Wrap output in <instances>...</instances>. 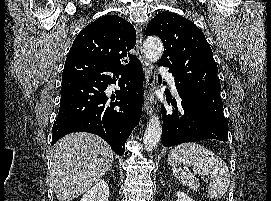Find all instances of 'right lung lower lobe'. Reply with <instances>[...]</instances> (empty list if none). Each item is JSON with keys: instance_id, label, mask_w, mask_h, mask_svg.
I'll use <instances>...</instances> for the list:
<instances>
[{"instance_id": "1", "label": "right lung lower lobe", "mask_w": 271, "mask_h": 201, "mask_svg": "<svg viewBox=\"0 0 271 201\" xmlns=\"http://www.w3.org/2000/svg\"><path fill=\"white\" fill-rule=\"evenodd\" d=\"M109 84L121 90L108 96ZM143 69L132 64H109L85 56L67 57L62 76L61 102L53 125L52 145L71 132L102 137L118 154L139 123L142 112Z\"/></svg>"}]
</instances>
